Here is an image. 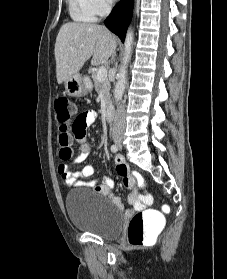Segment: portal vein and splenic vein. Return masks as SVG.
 <instances>
[{
    "instance_id": "obj_1",
    "label": "portal vein and splenic vein",
    "mask_w": 227,
    "mask_h": 279,
    "mask_svg": "<svg viewBox=\"0 0 227 279\" xmlns=\"http://www.w3.org/2000/svg\"><path fill=\"white\" fill-rule=\"evenodd\" d=\"M96 77L98 80H104L107 78V69L105 67H99L96 69Z\"/></svg>"
}]
</instances>
